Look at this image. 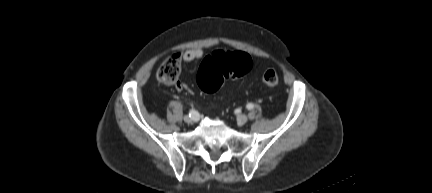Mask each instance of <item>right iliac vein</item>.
I'll use <instances>...</instances> for the list:
<instances>
[{
  "instance_id": "obj_1",
  "label": "right iliac vein",
  "mask_w": 432,
  "mask_h": 193,
  "mask_svg": "<svg viewBox=\"0 0 432 193\" xmlns=\"http://www.w3.org/2000/svg\"><path fill=\"white\" fill-rule=\"evenodd\" d=\"M184 121L186 123L197 122L198 121V115H195L194 117L185 116Z\"/></svg>"
}]
</instances>
